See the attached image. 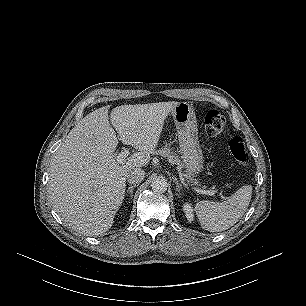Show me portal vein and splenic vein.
I'll return each instance as SVG.
<instances>
[{
	"label": "portal vein and splenic vein",
	"instance_id": "portal-vein-and-splenic-vein-1",
	"mask_svg": "<svg viewBox=\"0 0 306 306\" xmlns=\"http://www.w3.org/2000/svg\"><path fill=\"white\" fill-rule=\"evenodd\" d=\"M129 155V151L128 150H124L123 152L119 153L117 155V161L122 164L125 160V158ZM194 190L199 193V194H205V195H211V196H216V192L214 190H201V189H197L194 188ZM223 197V196H222Z\"/></svg>",
	"mask_w": 306,
	"mask_h": 306
}]
</instances>
